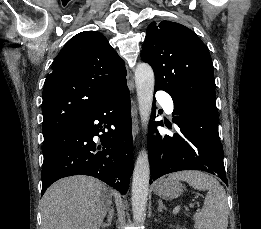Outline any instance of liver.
I'll use <instances>...</instances> for the list:
<instances>
[{"label":"liver","mask_w":261,"mask_h":229,"mask_svg":"<svg viewBox=\"0 0 261 229\" xmlns=\"http://www.w3.org/2000/svg\"><path fill=\"white\" fill-rule=\"evenodd\" d=\"M111 203L108 187L94 177L60 179L41 199V229H100Z\"/></svg>","instance_id":"1"}]
</instances>
